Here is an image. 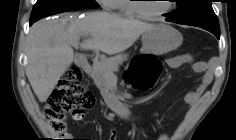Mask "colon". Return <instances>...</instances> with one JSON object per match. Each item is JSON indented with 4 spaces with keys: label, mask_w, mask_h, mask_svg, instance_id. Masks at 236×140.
Instances as JSON below:
<instances>
[{
    "label": "colon",
    "mask_w": 236,
    "mask_h": 140,
    "mask_svg": "<svg viewBox=\"0 0 236 140\" xmlns=\"http://www.w3.org/2000/svg\"><path fill=\"white\" fill-rule=\"evenodd\" d=\"M161 73V63L151 56H137L132 59L126 80L135 90H150ZM96 104L95 95L87 89L82 80L81 71L73 66L61 77L45 107V115L52 128L62 133L65 130L64 119L70 114L74 119H81L84 111Z\"/></svg>",
    "instance_id": "obj_1"
}]
</instances>
